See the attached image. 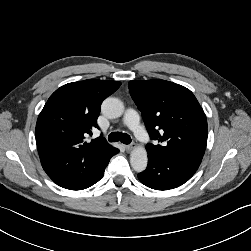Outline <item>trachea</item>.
<instances>
[{
    "label": "trachea",
    "instance_id": "3493384b",
    "mask_svg": "<svg viewBox=\"0 0 251 251\" xmlns=\"http://www.w3.org/2000/svg\"><path fill=\"white\" fill-rule=\"evenodd\" d=\"M108 140L110 142H118L121 141L124 144H130L131 143V137L126 134V133H122V132H112L109 134L108 136Z\"/></svg>",
    "mask_w": 251,
    "mask_h": 251
}]
</instances>
